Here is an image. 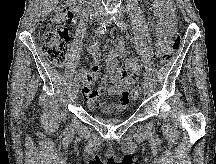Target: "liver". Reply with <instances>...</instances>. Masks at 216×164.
Wrapping results in <instances>:
<instances>
[{
  "mask_svg": "<svg viewBox=\"0 0 216 164\" xmlns=\"http://www.w3.org/2000/svg\"><path fill=\"white\" fill-rule=\"evenodd\" d=\"M60 0H42V14L47 15L56 8Z\"/></svg>",
  "mask_w": 216,
  "mask_h": 164,
  "instance_id": "obj_1",
  "label": "liver"
}]
</instances>
